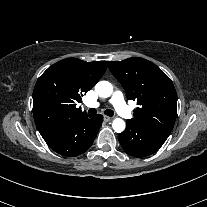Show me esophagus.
Returning a JSON list of instances; mask_svg holds the SVG:
<instances>
[{"label":"esophagus","mask_w":207,"mask_h":207,"mask_svg":"<svg viewBox=\"0 0 207 207\" xmlns=\"http://www.w3.org/2000/svg\"><path fill=\"white\" fill-rule=\"evenodd\" d=\"M111 120V117L104 115V121L108 122Z\"/></svg>","instance_id":"esophagus-1"}]
</instances>
